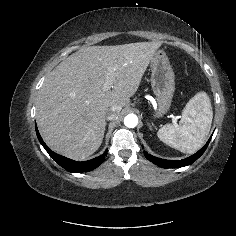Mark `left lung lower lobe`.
I'll list each match as a JSON object with an SVG mask.
<instances>
[{
    "instance_id": "obj_1",
    "label": "left lung lower lobe",
    "mask_w": 236,
    "mask_h": 236,
    "mask_svg": "<svg viewBox=\"0 0 236 236\" xmlns=\"http://www.w3.org/2000/svg\"><path fill=\"white\" fill-rule=\"evenodd\" d=\"M210 140H211V138L204 145V147L201 148L198 152H196L195 154L191 155L190 157L182 159V160H165V159L154 157V156L148 154L147 152H144V155L146 156V158L149 161H151L152 163H154L160 167L180 168V167H184V166L190 165L193 162H195L205 152Z\"/></svg>"
}]
</instances>
